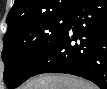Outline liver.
Returning <instances> with one entry per match:
<instances>
[{"label": "liver", "mask_w": 107, "mask_h": 89, "mask_svg": "<svg viewBox=\"0 0 107 89\" xmlns=\"http://www.w3.org/2000/svg\"><path fill=\"white\" fill-rule=\"evenodd\" d=\"M20 89H96L87 81L66 74H42L26 82Z\"/></svg>", "instance_id": "liver-1"}]
</instances>
